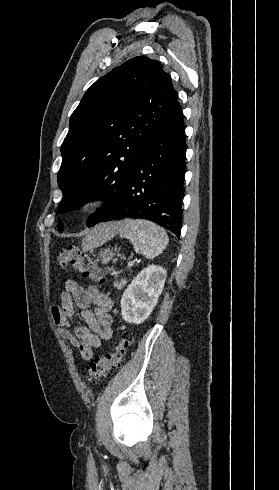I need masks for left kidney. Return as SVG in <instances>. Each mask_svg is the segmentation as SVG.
Returning a JSON list of instances; mask_svg holds the SVG:
<instances>
[{"label":"left kidney","mask_w":279,"mask_h":490,"mask_svg":"<svg viewBox=\"0 0 279 490\" xmlns=\"http://www.w3.org/2000/svg\"><path fill=\"white\" fill-rule=\"evenodd\" d=\"M166 270L162 266H148L132 280L121 298V316L128 324H143L153 312L162 294Z\"/></svg>","instance_id":"obj_1"}]
</instances>
